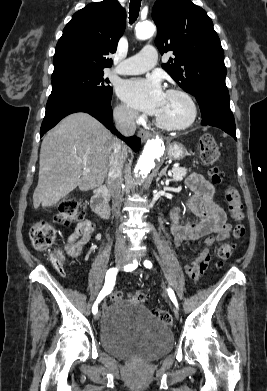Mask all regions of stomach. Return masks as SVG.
<instances>
[{"label":"stomach","instance_id":"0dacf381","mask_svg":"<svg viewBox=\"0 0 267 391\" xmlns=\"http://www.w3.org/2000/svg\"><path fill=\"white\" fill-rule=\"evenodd\" d=\"M168 157L173 160H181L188 155L186 148L180 143H172L168 147Z\"/></svg>","mask_w":267,"mask_h":391}]
</instances>
